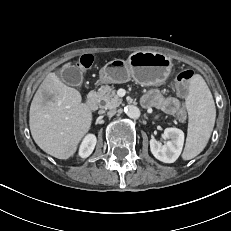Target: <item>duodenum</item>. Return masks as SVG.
<instances>
[{
	"label": "duodenum",
	"instance_id": "1",
	"mask_svg": "<svg viewBox=\"0 0 231 231\" xmlns=\"http://www.w3.org/2000/svg\"><path fill=\"white\" fill-rule=\"evenodd\" d=\"M86 107L90 111H95L97 108V98L95 93L91 92L88 94L86 99Z\"/></svg>",
	"mask_w": 231,
	"mask_h": 231
}]
</instances>
